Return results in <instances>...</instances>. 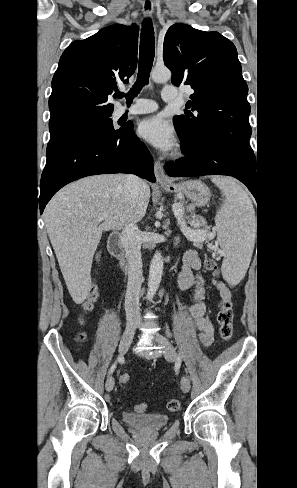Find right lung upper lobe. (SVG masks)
<instances>
[{"instance_id": "right-lung-upper-lobe-1", "label": "right lung upper lobe", "mask_w": 297, "mask_h": 488, "mask_svg": "<svg viewBox=\"0 0 297 488\" xmlns=\"http://www.w3.org/2000/svg\"><path fill=\"white\" fill-rule=\"evenodd\" d=\"M138 32L113 25L66 48L52 79L50 133L111 116L110 95L137 67Z\"/></svg>"}]
</instances>
